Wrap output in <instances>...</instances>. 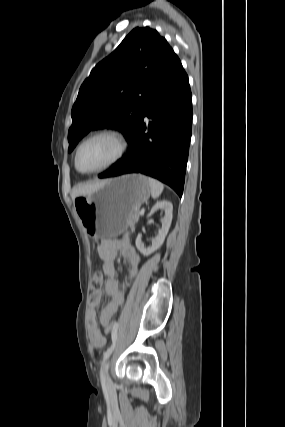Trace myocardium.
Wrapping results in <instances>:
<instances>
[{"label":"myocardium","instance_id":"1","mask_svg":"<svg viewBox=\"0 0 285 427\" xmlns=\"http://www.w3.org/2000/svg\"><path fill=\"white\" fill-rule=\"evenodd\" d=\"M100 136H110L112 138H114L118 144H119V149L118 152L116 154V156L107 164H105L104 166L95 169V170H91V171H83L80 169L79 164H78V157H79V153L81 148L90 140L100 137ZM128 149V142L126 137L124 136L123 133H121L118 130L115 129H102L99 130L97 132H94L93 134L89 135L88 137H86L77 147L76 152H75V157H74V163H75V167L76 169L82 173V174H96V173H101L103 171H106L108 169H110L111 167H113L114 165H116L125 155V153L127 152Z\"/></svg>","mask_w":285,"mask_h":427}]
</instances>
